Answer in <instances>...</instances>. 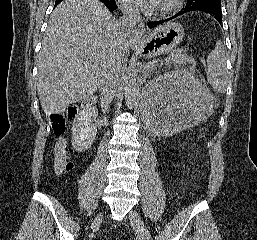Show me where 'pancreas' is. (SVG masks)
Instances as JSON below:
<instances>
[{"label": "pancreas", "instance_id": "pancreas-1", "mask_svg": "<svg viewBox=\"0 0 257 240\" xmlns=\"http://www.w3.org/2000/svg\"><path fill=\"white\" fill-rule=\"evenodd\" d=\"M166 64V65H190L192 69L195 68L196 62L195 60L188 56L183 50H174L171 52V54L161 59L160 61L154 63L152 66V69H157V67Z\"/></svg>", "mask_w": 257, "mask_h": 240}]
</instances>
